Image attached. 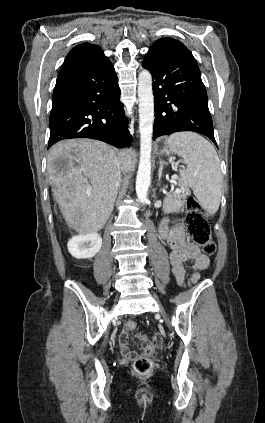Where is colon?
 <instances>
[{
    "mask_svg": "<svg viewBox=\"0 0 265 423\" xmlns=\"http://www.w3.org/2000/svg\"><path fill=\"white\" fill-rule=\"evenodd\" d=\"M187 215L186 227L193 242L203 248V251L208 255H213L216 251V245L211 237V228L206 218L204 210L194 197L186 199ZM136 322L129 320L125 324L127 331H134L136 329ZM136 337L142 341H147V335L143 332H137ZM146 349L150 350L151 346L146 345ZM134 370L137 374L147 375L153 370V362L147 357H139L134 362Z\"/></svg>",
    "mask_w": 265,
    "mask_h": 423,
    "instance_id": "5ec220e1",
    "label": "colon"
}]
</instances>
